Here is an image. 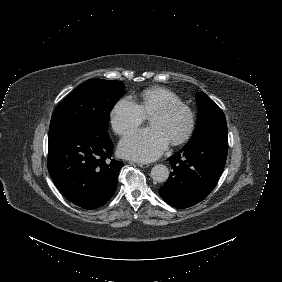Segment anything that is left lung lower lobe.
Segmentation results:
<instances>
[{
  "label": "left lung lower lobe",
  "instance_id": "obj_1",
  "mask_svg": "<svg viewBox=\"0 0 282 282\" xmlns=\"http://www.w3.org/2000/svg\"><path fill=\"white\" fill-rule=\"evenodd\" d=\"M227 151V125L207 129L191 138L181 151L167 159L173 172L159 188L162 199L181 209L202 201L216 186Z\"/></svg>",
  "mask_w": 282,
  "mask_h": 282
}]
</instances>
